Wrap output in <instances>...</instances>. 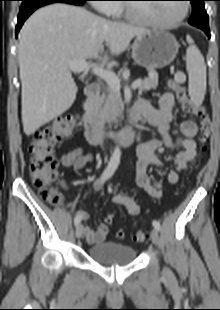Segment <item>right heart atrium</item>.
<instances>
[{
    "label": "right heart atrium",
    "mask_w": 220,
    "mask_h": 310,
    "mask_svg": "<svg viewBox=\"0 0 220 310\" xmlns=\"http://www.w3.org/2000/svg\"><path fill=\"white\" fill-rule=\"evenodd\" d=\"M112 0H97L95 4V8L105 14V15H113L112 12L117 8L115 4H113Z\"/></svg>",
    "instance_id": "d8ad5b80"
}]
</instances>
